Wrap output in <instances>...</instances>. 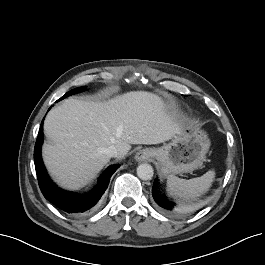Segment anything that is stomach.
<instances>
[{"instance_id": "0dacf381", "label": "stomach", "mask_w": 265, "mask_h": 265, "mask_svg": "<svg viewBox=\"0 0 265 265\" xmlns=\"http://www.w3.org/2000/svg\"><path fill=\"white\" fill-rule=\"evenodd\" d=\"M210 148L205 131L193 124L184 125L171 142L152 149L153 158L164 176L192 173L202 166Z\"/></svg>"}]
</instances>
